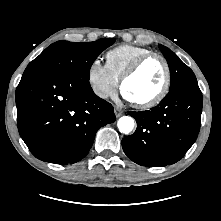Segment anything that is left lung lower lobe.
Returning a JSON list of instances; mask_svg holds the SVG:
<instances>
[{
  "label": "left lung lower lobe",
  "mask_w": 221,
  "mask_h": 221,
  "mask_svg": "<svg viewBox=\"0 0 221 221\" xmlns=\"http://www.w3.org/2000/svg\"><path fill=\"white\" fill-rule=\"evenodd\" d=\"M202 103L198 83H189L169 91L151 110L129 112L137 121V129L122 140L125 154L147 167L176 163L198 136Z\"/></svg>",
  "instance_id": "left-lung-lower-lobe-1"
}]
</instances>
